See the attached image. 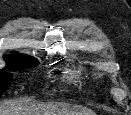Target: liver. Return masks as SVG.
I'll list each match as a JSON object with an SVG mask.
<instances>
[{
	"label": "liver",
	"mask_w": 131,
	"mask_h": 115,
	"mask_svg": "<svg viewBox=\"0 0 131 115\" xmlns=\"http://www.w3.org/2000/svg\"><path fill=\"white\" fill-rule=\"evenodd\" d=\"M0 115H95L86 108L64 104H39L28 100H14L0 104Z\"/></svg>",
	"instance_id": "liver-1"
}]
</instances>
